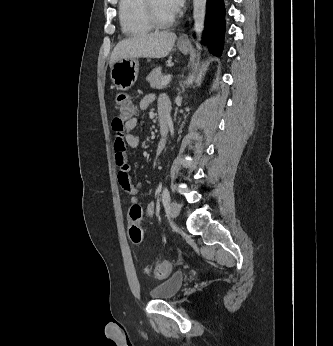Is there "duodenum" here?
<instances>
[{"label":"duodenum","mask_w":333,"mask_h":346,"mask_svg":"<svg viewBox=\"0 0 333 346\" xmlns=\"http://www.w3.org/2000/svg\"><path fill=\"white\" fill-rule=\"evenodd\" d=\"M159 132L162 137H166L169 133V118L159 116L158 119Z\"/></svg>","instance_id":"1"}]
</instances>
